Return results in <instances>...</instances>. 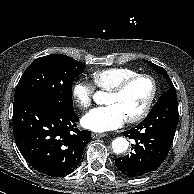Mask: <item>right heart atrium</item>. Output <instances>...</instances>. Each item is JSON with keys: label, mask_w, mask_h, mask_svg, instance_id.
<instances>
[{"label": "right heart atrium", "mask_w": 194, "mask_h": 194, "mask_svg": "<svg viewBox=\"0 0 194 194\" xmlns=\"http://www.w3.org/2000/svg\"><path fill=\"white\" fill-rule=\"evenodd\" d=\"M94 88L86 79L79 78L71 87V96L77 107L87 109L92 102Z\"/></svg>", "instance_id": "right-heart-atrium-1"}]
</instances>
